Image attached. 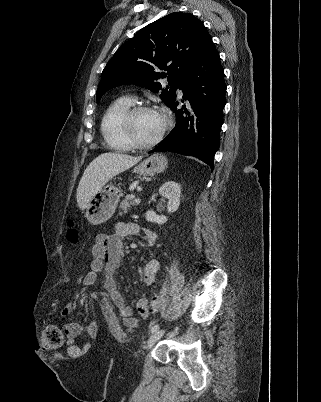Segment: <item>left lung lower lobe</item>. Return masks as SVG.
Listing matches in <instances>:
<instances>
[{
    "mask_svg": "<svg viewBox=\"0 0 321 402\" xmlns=\"http://www.w3.org/2000/svg\"><path fill=\"white\" fill-rule=\"evenodd\" d=\"M178 88L183 91L186 106L178 110L175 97L168 106L176 115L175 128L150 152L172 151L195 156L213 169L220 145L226 84L219 53L211 38Z\"/></svg>",
    "mask_w": 321,
    "mask_h": 402,
    "instance_id": "1",
    "label": "left lung lower lobe"
}]
</instances>
